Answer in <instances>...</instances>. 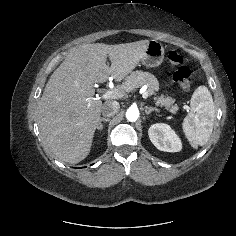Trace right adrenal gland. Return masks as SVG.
I'll return each instance as SVG.
<instances>
[{"instance_id": "1", "label": "right adrenal gland", "mask_w": 236, "mask_h": 236, "mask_svg": "<svg viewBox=\"0 0 236 236\" xmlns=\"http://www.w3.org/2000/svg\"><path fill=\"white\" fill-rule=\"evenodd\" d=\"M109 121H110V118H100L97 125V129L101 131L103 129L102 122H109Z\"/></svg>"}]
</instances>
